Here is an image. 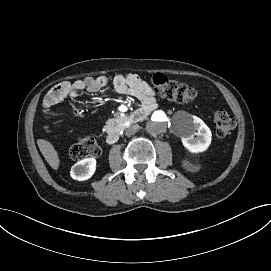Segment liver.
<instances>
[{
    "instance_id": "liver-1",
    "label": "liver",
    "mask_w": 271,
    "mask_h": 271,
    "mask_svg": "<svg viewBox=\"0 0 271 271\" xmlns=\"http://www.w3.org/2000/svg\"><path fill=\"white\" fill-rule=\"evenodd\" d=\"M37 144L48 164L54 170H57L59 167V157L53 145L50 142L43 139H38Z\"/></svg>"
}]
</instances>
